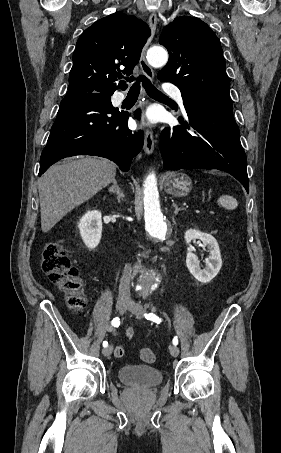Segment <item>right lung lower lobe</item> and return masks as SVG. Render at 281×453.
<instances>
[{
  "label": "right lung lower lobe",
  "instance_id": "right-lung-lower-lobe-1",
  "mask_svg": "<svg viewBox=\"0 0 281 453\" xmlns=\"http://www.w3.org/2000/svg\"><path fill=\"white\" fill-rule=\"evenodd\" d=\"M128 117L112 106L110 95H66L42 152L39 176L55 162L74 155L105 157L128 171L143 146L142 132L128 129Z\"/></svg>",
  "mask_w": 281,
  "mask_h": 453
}]
</instances>
